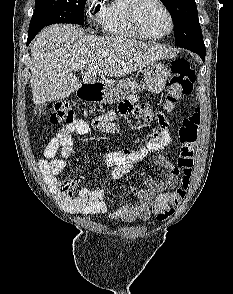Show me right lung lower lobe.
<instances>
[{
    "label": "right lung lower lobe",
    "mask_w": 233,
    "mask_h": 294,
    "mask_svg": "<svg viewBox=\"0 0 233 294\" xmlns=\"http://www.w3.org/2000/svg\"><path fill=\"white\" fill-rule=\"evenodd\" d=\"M33 38H34V37L28 35L27 45L31 42V40H32Z\"/></svg>",
    "instance_id": "right-lung-lower-lobe-1"
}]
</instances>
